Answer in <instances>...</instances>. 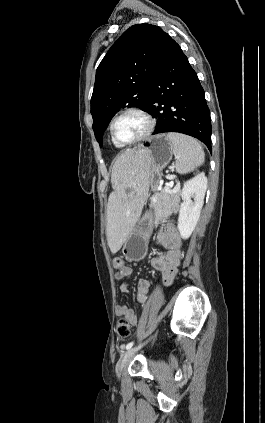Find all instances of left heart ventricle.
I'll return each mask as SVG.
<instances>
[{"mask_svg": "<svg viewBox=\"0 0 265 423\" xmlns=\"http://www.w3.org/2000/svg\"><path fill=\"white\" fill-rule=\"evenodd\" d=\"M147 123L138 114H127L119 118L114 125V133L122 142L132 141L141 136L146 130Z\"/></svg>", "mask_w": 265, "mask_h": 423, "instance_id": "left-heart-ventricle-1", "label": "left heart ventricle"}]
</instances>
